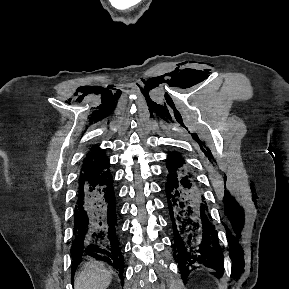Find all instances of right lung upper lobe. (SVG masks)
Returning <instances> with one entry per match:
<instances>
[{
	"instance_id": "right-lung-upper-lobe-1",
	"label": "right lung upper lobe",
	"mask_w": 289,
	"mask_h": 289,
	"mask_svg": "<svg viewBox=\"0 0 289 289\" xmlns=\"http://www.w3.org/2000/svg\"><path fill=\"white\" fill-rule=\"evenodd\" d=\"M109 168V160L104 150L98 147L91 149L83 161L79 181L93 178Z\"/></svg>"
}]
</instances>
